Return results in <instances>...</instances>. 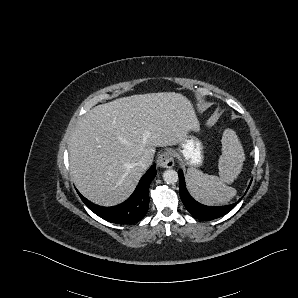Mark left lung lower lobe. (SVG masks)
I'll return each instance as SVG.
<instances>
[{"label":"left lung lower lobe","instance_id":"obj_1","mask_svg":"<svg viewBox=\"0 0 298 298\" xmlns=\"http://www.w3.org/2000/svg\"><path fill=\"white\" fill-rule=\"evenodd\" d=\"M178 175H179V182H180L179 193H180L181 200L185 205V207L187 208V210L197 219L209 221V220L222 217L228 212H230L242 199L240 198L236 203L226 205V206H220V207H210V206L202 205L197 201H195L187 192L182 170L178 171Z\"/></svg>","mask_w":298,"mask_h":298}]
</instances>
